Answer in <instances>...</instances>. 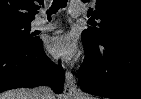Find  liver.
<instances>
[{
  "label": "liver",
  "instance_id": "1",
  "mask_svg": "<svg viewBox=\"0 0 141 99\" xmlns=\"http://www.w3.org/2000/svg\"><path fill=\"white\" fill-rule=\"evenodd\" d=\"M34 90L29 88H18L0 94V99H35Z\"/></svg>",
  "mask_w": 141,
  "mask_h": 99
}]
</instances>
